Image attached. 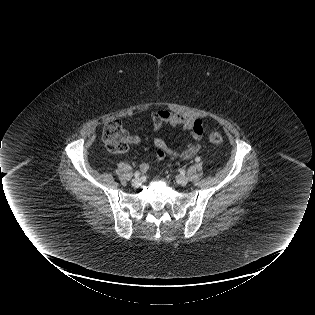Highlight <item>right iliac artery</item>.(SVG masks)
I'll use <instances>...</instances> for the list:
<instances>
[{
  "mask_svg": "<svg viewBox=\"0 0 315 315\" xmlns=\"http://www.w3.org/2000/svg\"><path fill=\"white\" fill-rule=\"evenodd\" d=\"M140 174H141V173H140L139 171H136V172L134 173V177H135V178H138V177L140 176Z\"/></svg>",
  "mask_w": 315,
  "mask_h": 315,
  "instance_id": "1",
  "label": "right iliac artery"
}]
</instances>
